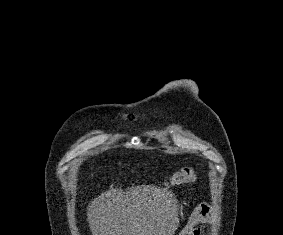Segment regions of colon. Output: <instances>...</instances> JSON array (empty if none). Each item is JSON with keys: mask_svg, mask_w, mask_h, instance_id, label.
Wrapping results in <instances>:
<instances>
[{"mask_svg": "<svg viewBox=\"0 0 283 235\" xmlns=\"http://www.w3.org/2000/svg\"><path fill=\"white\" fill-rule=\"evenodd\" d=\"M196 179L195 172L190 167H184L176 171L170 178V183L172 185H180L184 183L194 182ZM189 230H184L182 235H188Z\"/></svg>", "mask_w": 283, "mask_h": 235, "instance_id": "5ec220e1", "label": "colon"}]
</instances>
